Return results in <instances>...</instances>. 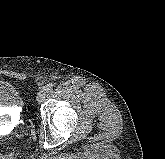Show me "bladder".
<instances>
[{"mask_svg": "<svg viewBox=\"0 0 165 159\" xmlns=\"http://www.w3.org/2000/svg\"><path fill=\"white\" fill-rule=\"evenodd\" d=\"M22 97L17 88L10 82L0 80V107L18 106Z\"/></svg>", "mask_w": 165, "mask_h": 159, "instance_id": "bladder-1", "label": "bladder"}]
</instances>
